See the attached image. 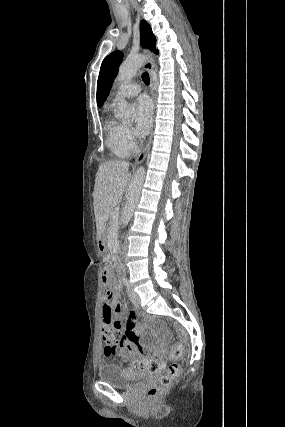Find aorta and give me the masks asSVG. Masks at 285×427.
Returning <instances> with one entry per match:
<instances>
[{
  "label": "aorta",
  "instance_id": "762f6f07",
  "mask_svg": "<svg viewBox=\"0 0 285 427\" xmlns=\"http://www.w3.org/2000/svg\"><path fill=\"white\" fill-rule=\"evenodd\" d=\"M144 62V56L141 54H132L127 57V59L120 65L117 80L119 81H129L131 80L138 70L141 68ZM118 108V118L122 120H128L133 112V106L124 99L119 100ZM145 179V169L144 167H139L133 176V179L128 188L127 200L123 209L122 214V224L127 226L130 222L134 209L138 203L143 182Z\"/></svg>",
  "mask_w": 285,
  "mask_h": 427
}]
</instances>
